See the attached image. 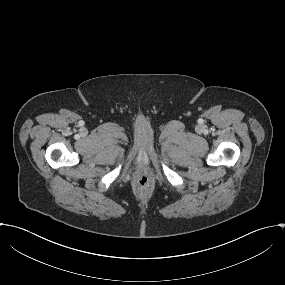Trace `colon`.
I'll return each instance as SVG.
<instances>
[{
	"mask_svg": "<svg viewBox=\"0 0 285 285\" xmlns=\"http://www.w3.org/2000/svg\"><path fill=\"white\" fill-rule=\"evenodd\" d=\"M153 180L147 173H141L136 178V185L141 190H149L153 186Z\"/></svg>",
	"mask_w": 285,
	"mask_h": 285,
	"instance_id": "obj_1",
	"label": "colon"
}]
</instances>
